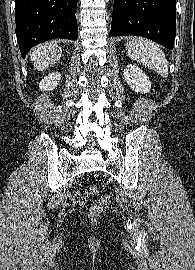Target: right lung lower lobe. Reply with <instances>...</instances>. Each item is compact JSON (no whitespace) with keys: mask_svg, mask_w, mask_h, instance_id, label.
<instances>
[{"mask_svg":"<svg viewBox=\"0 0 195 270\" xmlns=\"http://www.w3.org/2000/svg\"><path fill=\"white\" fill-rule=\"evenodd\" d=\"M77 0H15L16 36L23 57L35 45L78 38Z\"/></svg>","mask_w":195,"mask_h":270,"instance_id":"98d812e1","label":"right lung lower lobe"}]
</instances>
